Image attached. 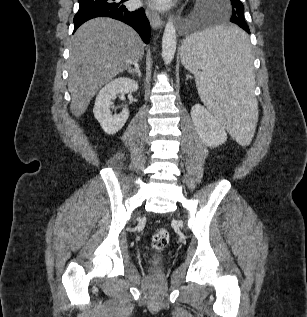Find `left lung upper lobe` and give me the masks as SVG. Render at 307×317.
I'll return each mask as SVG.
<instances>
[{"label": "left lung upper lobe", "mask_w": 307, "mask_h": 317, "mask_svg": "<svg viewBox=\"0 0 307 317\" xmlns=\"http://www.w3.org/2000/svg\"><path fill=\"white\" fill-rule=\"evenodd\" d=\"M232 5V19H236L238 17V20L242 24H246L245 18H244V6L241 3L240 0H230ZM231 21V19H230Z\"/></svg>", "instance_id": "obj_1"}]
</instances>
